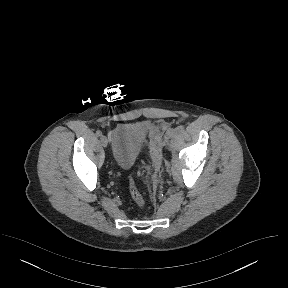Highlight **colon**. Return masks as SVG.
Segmentation results:
<instances>
[{
  "instance_id": "colon-1",
  "label": "colon",
  "mask_w": 288,
  "mask_h": 288,
  "mask_svg": "<svg viewBox=\"0 0 288 288\" xmlns=\"http://www.w3.org/2000/svg\"><path fill=\"white\" fill-rule=\"evenodd\" d=\"M129 192H130L131 198L133 199L134 203L138 207H143L145 204V200H144L142 194L140 193V191L136 188V186H135V184L131 178H129Z\"/></svg>"
}]
</instances>
